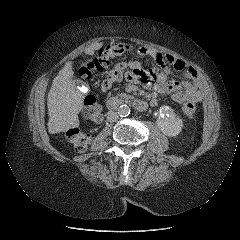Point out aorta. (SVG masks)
<instances>
[{"label": "aorta", "instance_id": "762f6f07", "mask_svg": "<svg viewBox=\"0 0 240 240\" xmlns=\"http://www.w3.org/2000/svg\"><path fill=\"white\" fill-rule=\"evenodd\" d=\"M118 114L120 117H127L130 114V108L128 105H121L118 108Z\"/></svg>", "mask_w": 240, "mask_h": 240}]
</instances>
